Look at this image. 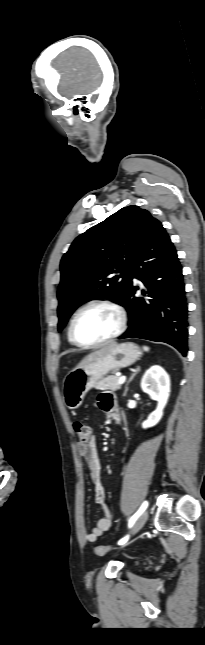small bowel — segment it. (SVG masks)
Here are the masks:
<instances>
[{"label": "small bowel", "instance_id": "small-bowel-1", "mask_svg": "<svg viewBox=\"0 0 205 645\" xmlns=\"http://www.w3.org/2000/svg\"><path fill=\"white\" fill-rule=\"evenodd\" d=\"M96 406L103 412L116 417V399L112 393L106 392L101 394L96 401ZM77 451L86 462L90 478L93 484L94 502L104 512V516L99 518L96 525L86 533L85 539L88 542H95L103 533L112 527V514L106 506V492L101 479V463L97 450V443L94 438L84 444L77 445Z\"/></svg>", "mask_w": 205, "mask_h": 645}]
</instances>
